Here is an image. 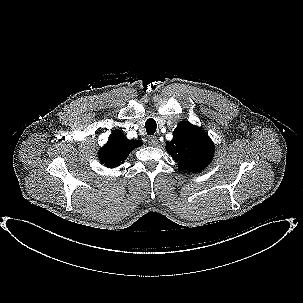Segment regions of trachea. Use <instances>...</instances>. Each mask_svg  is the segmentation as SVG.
Returning a JSON list of instances; mask_svg holds the SVG:
<instances>
[{
  "instance_id": "3493384b",
  "label": "trachea",
  "mask_w": 303,
  "mask_h": 303,
  "mask_svg": "<svg viewBox=\"0 0 303 303\" xmlns=\"http://www.w3.org/2000/svg\"><path fill=\"white\" fill-rule=\"evenodd\" d=\"M145 127H146L147 134L148 135H153L156 131V128H157L156 121L152 118H149L145 123Z\"/></svg>"
}]
</instances>
